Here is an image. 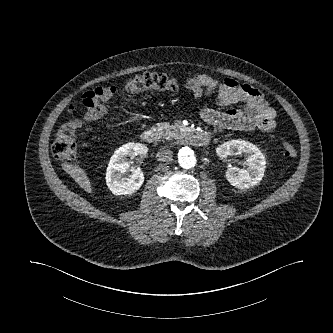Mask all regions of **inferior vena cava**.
Returning <instances> with one entry per match:
<instances>
[{
  "label": "inferior vena cava",
  "instance_id": "obj_1",
  "mask_svg": "<svg viewBox=\"0 0 333 333\" xmlns=\"http://www.w3.org/2000/svg\"><path fill=\"white\" fill-rule=\"evenodd\" d=\"M158 161H170L173 157V152L169 148H162L156 154Z\"/></svg>",
  "mask_w": 333,
  "mask_h": 333
}]
</instances>
